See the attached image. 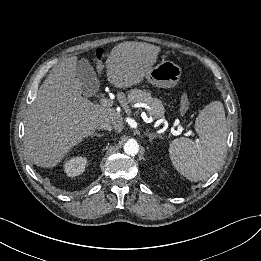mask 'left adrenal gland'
<instances>
[{
    "instance_id": "left-adrenal-gland-1",
    "label": "left adrenal gland",
    "mask_w": 261,
    "mask_h": 261,
    "mask_svg": "<svg viewBox=\"0 0 261 261\" xmlns=\"http://www.w3.org/2000/svg\"><path fill=\"white\" fill-rule=\"evenodd\" d=\"M146 136L149 137V141L152 142L154 138H161L160 135L154 134V133H150L149 131H147V133H145Z\"/></svg>"
}]
</instances>
